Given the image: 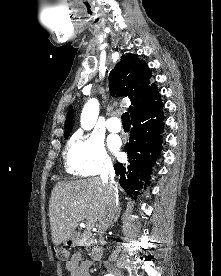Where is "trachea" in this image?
<instances>
[{
    "label": "trachea",
    "mask_w": 221,
    "mask_h": 276,
    "mask_svg": "<svg viewBox=\"0 0 221 276\" xmlns=\"http://www.w3.org/2000/svg\"><path fill=\"white\" fill-rule=\"evenodd\" d=\"M123 125H130V115L128 112H125L121 116Z\"/></svg>",
    "instance_id": "obj_1"
}]
</instances>
